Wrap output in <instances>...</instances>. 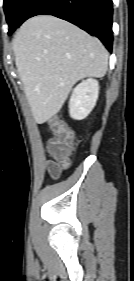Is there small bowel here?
<instances>
[{"mask_svg": "<svg viewBox=\"0 0 134 281\" xmlns=\"http://www.w3.org/2000/svg\"><path fill=\"white\" fill-rule=\"evenodd\" d=\"M46 168L53 178H58L62 173V168L53 160L46 161Z\"/></svg>", "mask_w": 134, "mask_h": 281, "instance_id": "c3829d8e", "label": "small bowel"}]
</instances>
